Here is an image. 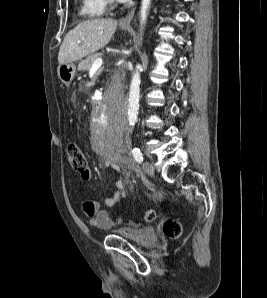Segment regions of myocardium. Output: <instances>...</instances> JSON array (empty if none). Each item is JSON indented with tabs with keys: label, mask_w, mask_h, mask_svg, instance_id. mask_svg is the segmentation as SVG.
Masks as SVG:
<instances>
[{
	"label": "myocardium",
	"mask_w": 267,
	"mask_h": 298,
	"mask_svg": "<svg viewBox=\"0 0 267 298\" xmlns=\"http://www.w3.org/2000/svg\"><path fill=\"white\" fill-rule=\"evenodd\" d=\"M104 1H105V3H106L107 5H109L110 7H113V6L115 5L114 0H104Z\"/></svg>",
	"instance_id": "myocardium-1"
}]
</instances>
